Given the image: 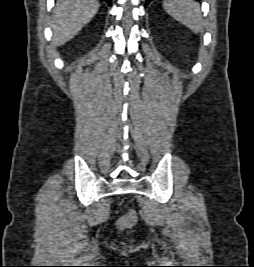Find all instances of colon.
Instances as JSON below:
<instances>
[{
    "mask_svg": "<svg viewBox=\"0 0 254 267\" xmlns=\"http://www.w3.org/2000/svg\"><path fill=\"white\" fill-rule=\"evenodd\" d=\"M137 221V216L136 213L132 210L128 211L126 215H124L120 220H119V226L121 228H127L133 226Z\"/></svg>",
    "mask_w": 254,
    "mask_h": 267,
    "instance_id": "obj_1",
    "label": "colon"
}]
</instances>
